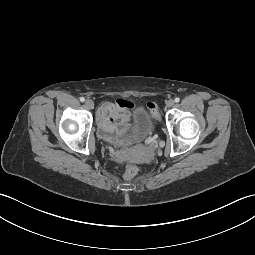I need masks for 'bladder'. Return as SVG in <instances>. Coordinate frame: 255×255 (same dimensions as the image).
I'll list each match as a JSON object with an SVG mask.
<instances>
[{
    "mask_svg": "<svg viewBox=\"0 0 255 255\" xmlns=\"http://www.w3.org/2000/svg\"><path fill=\"white\" fill-rule=\"evenodd\" d=\"M155 130V122L150 112L143 106L137 107L124 138L130 142L142 140Z\"/></svg>",
    "mask_w": 255,
    "mask_h": 255,
    "instance_id": "31cf9c89",
    "label": "bladder"
}]
</instances>
